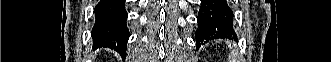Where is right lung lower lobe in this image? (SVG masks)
<instances>
[{
	"mask_svg": "<svg viewBox=\"0 0 331 62\" xmlns=\"http://www.w3.org/2000/svg\"><path fill=\"white\" fill-rule=\"evenodd\" d=\"M94 12L93 46L108 47L119 53H125L129 38L125 0H100Z\"/></svg>",
	"mask_w": 331,
	"mask_h": 62,
	"instance_id": "1",
	"label": "right lung lower lobe"
}]
</instances>
